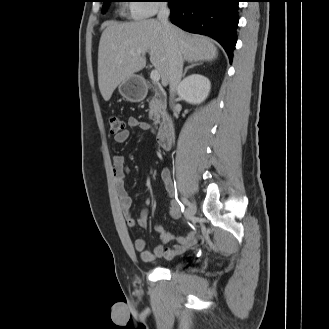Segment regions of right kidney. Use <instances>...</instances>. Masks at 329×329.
Returning a JSON list of instances; mask_svg holds the SVG:
<instances>
[{"instance_id":"obj_1","label":"right kidney","mask_w":329,"mask_h":329,"mask_svg":"<svg viewBox=\"0 0 329 329\" xmlns=\"http://www.w3.org/2000/svg\"><path fill=\"white\" fill-rule=\"evenodd\" d=\"M211 84L208 78L200 74H192L185 78L178 87V95L190 104H200L209 95Z\"/></svg>"}]
</instances>
